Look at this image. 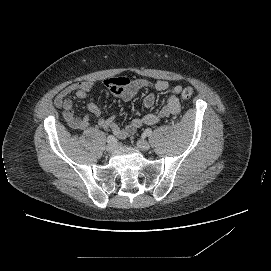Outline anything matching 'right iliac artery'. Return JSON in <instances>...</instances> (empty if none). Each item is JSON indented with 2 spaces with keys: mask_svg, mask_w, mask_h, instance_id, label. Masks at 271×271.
Wrapping results in <instances>:
<instances>
[{
  "mask_svg": "<svg viewBox=\"0 0 271 271\" xmlns=\"http://www.w3.org/2000/svg\"><path fill=\"white\" fill-rule=\"evenodd\" d=\"M116 141L115 137L113 135H109L107 137V142L108 143H114Z\"/></svg>",
  "mask_w": 271,
  "mask_h": 271,
  "instance_id": "82829eb1",
  "label": "right iliac artery"
}]
</instances>
